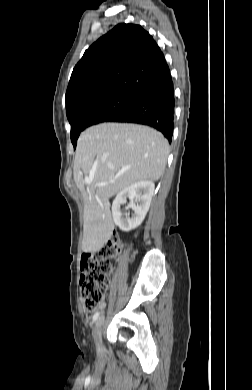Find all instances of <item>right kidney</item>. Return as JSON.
<instances>
[{
	"mask_svg": "<svg viewBox=\"0 0 252 390\" xmlns=\"http://www.w3.org/2000/svg\"><path fill=\"white\" fill-rule=\"evenodd\" d=\"M154 187L153 181L145 180L132 184L117 194L112 204V217L120 230L129 232L143 222L150 207ZM127 197L136 201V204L131 205L134 211L131 217L121 210V205L126 204Z\"/></svg>",
	"mask_w": 252,
	"mask_h": 390,
	"instance_id": "obj_1",
	"label": "right kidney"
}]
</instances>
